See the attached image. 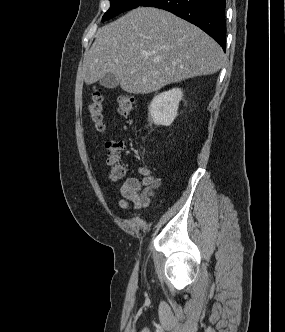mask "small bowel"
I'll list each match as a JSON object with an SVG mask.
<instances>
[{
	"instance_id": "obj_1",
	"label": "small bowel",
	"mask_w": 285,
	"mask_h": 332,
	"mask_svg": "<svg viewBox=\"0 0 285 332\" xmlns=\"http://www.w3.org/2000/svg\"><path fill=\"white\" fill-rule=\"evenodd\" d=\"M138 173L141 179L129 177L120 188L122 198L119 204L123 209L139 210L146 207L150 195L161 185V178L154 176L147 167L140 166Z\"/></svg>"
}]
</instances>
